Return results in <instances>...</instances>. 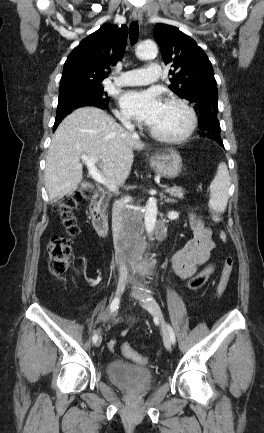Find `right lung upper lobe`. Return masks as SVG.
I'll list each match as a JSON object with an SVG mask.
<instances>
[{
	"mask_svg": "<svg viewBox=\"0 0 264 433\" xmlns=\"http://www.w3.org/2000/svg\"><path fill=\"white\" fill-rule=\"evenodd\" d=\"M125 40L126 26L118 28L111 24L102 25L83 39L64 64L60 94L78 87L102 85L110 67L122 58Z\"/></svg>",
	"mask_w": 264,
	"mask_h": 433,
	"instance_id": "1",
	"label": "right lung upper lobe"
}]
</instances>
